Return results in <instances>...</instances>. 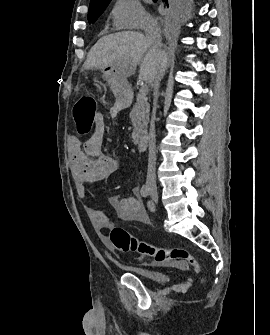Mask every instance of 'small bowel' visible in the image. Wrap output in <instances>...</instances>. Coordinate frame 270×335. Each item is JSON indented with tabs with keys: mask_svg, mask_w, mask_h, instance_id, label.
Listing matches in <instances>:
<instances>
[{
	"mask_svg": "<svg viewBox=\"0 0 270 335\" xmlns=\"http://www.w3.org/2000/svg\"><path fill=\"white\" fill-rule=\"evenodd\" d=\"M105 134V121L102 114H97L92 135L81 144L76 138L71 139L69 148L70 171L77 195L87 197L86 185L108 179L121 168L120 162L102 153ZM139 189H132V196L112 195L110 204L116 216L123 221L148 223L149 217L143 203L139 200ZM94 228L102 235L113 226V222L104 210L86 207Z\"/></svg>",
	"mask_w": 270,
	"mask_h": 335,
	"instance_id": "1",
	"label": "small bowel"
}]
</instances>
